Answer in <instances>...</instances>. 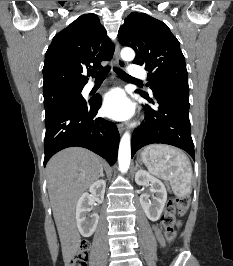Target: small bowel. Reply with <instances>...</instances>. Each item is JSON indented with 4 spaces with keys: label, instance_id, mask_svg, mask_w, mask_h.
<instances>
[{
    "label": "small bowel",
    "instance_id": "small-bowel-1",
    "mask_svg": "<svg viewBox=\"0 0 233 266\" xmlns=\"http://www.w3.org/2000/svg\"><path fill=\"white\" fill-rule=\"evenodd\" d=\"M156 235H157V238L161 241L162 237H161L160 230L158 228H156Z\"/></svg>",
    "mask_w": 233,
    "mask_h": 266
}]
</instances>
